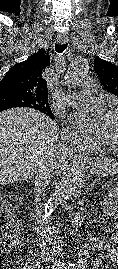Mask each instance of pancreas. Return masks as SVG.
Returning <instances> with one entry per match:
<instances>
[{
  "label": "pancreas",
  "mask_w": 118,
  "mask_h": 269,
  "mask_svg": "<svg viewBox=\"0 0 118 269\" xmlns=\"http://www.w3.org/2000/svg\"><path fill=\"white\" fill-rule=\"evenodd\" d=\"M96 184H104L101 186L102 190H111V185L114 184V181L111 178L107 177H100L99 179L95 180Z\"/></svg>",
  "instance_id": "pancreas-1"
}]
</instances>
